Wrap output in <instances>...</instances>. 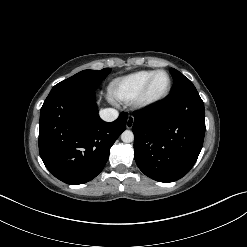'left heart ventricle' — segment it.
<instances>
[{
    "instance_id": "1",
    "label": "left heart ventricle",
    "mask_w": 247,
    "mask_h": 247,
    "mask_svg": "<svg viewBox=\"0 0 247 247\" xmlns=\"http://www.w3.org/2000/svg\"><path fill=\"white\" fill-rule=\"evenodd\" d=\"M167 86V77L164 74H160L155 78L152 86V94L158 95L164 91Z\"/></svg>"
}]
</instances>
